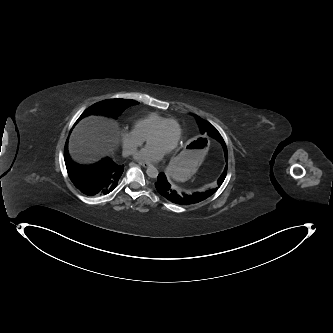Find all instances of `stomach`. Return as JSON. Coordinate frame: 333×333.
Here are the masks:
<instances>
[{"label":"stomach","mask_w":333,"mask_h":333,"mask_svg":"<svg viewBox=\"0 0 333 333\" xmlns=\"http://www.w3.org/2000/svg\"><path fill=\"white\" fill-rule=\"evenodd\" d=\"M209 143L204 137H191L180 146L177 155L171 158L165 168L167 178L175 183L188 179L197 172L200 163L207 158Z\"/></svg>","instance_id":"0dacf381"}]
</instances>
